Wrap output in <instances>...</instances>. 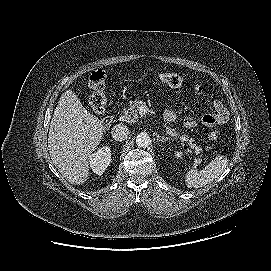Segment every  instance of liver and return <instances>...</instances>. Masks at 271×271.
<instances>
[{"mask_svg": "<svg viewBox=\"0 0 271 271\" xmlns=\"http://www.w3.org/2000/svg\"><path fill=\"white\" fill-rule=\"evenodd\" d=\"M104 133L101 121L89 112L72 90L65 91L50 122L48 148L51 160L71 184H83L89 162Z\"/></svg>", "mask_w": 271, "mask_h": 271, "instance_id": "obj_1", "label": "liver"}]
</instances>
